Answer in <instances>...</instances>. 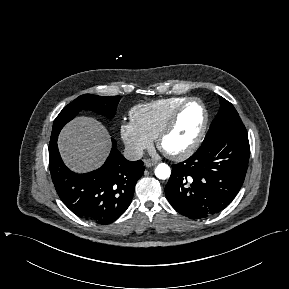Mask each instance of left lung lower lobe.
<instances>
[{"label": "left lung lower lobe", "instance_id": "obj_1", "mask_svg": "<svg viewBox=\"0 0 289 289\" xmlns=\"http://www.w3.org/2000/svg\"><path fill=\"white\" fill-rule=\"evenodd\" d=\"M249 155L248 135L220 132L205 138L190 158L172 165L165 186L168 201L191 219L220 212L239 192Z\"/></svg>", "mask_w": 289, "mask_h": 289}]
</instances>
